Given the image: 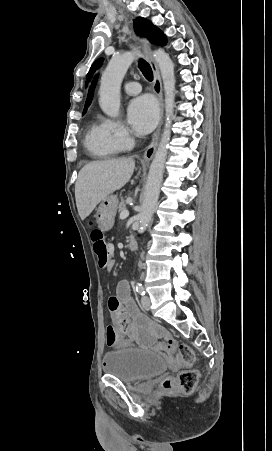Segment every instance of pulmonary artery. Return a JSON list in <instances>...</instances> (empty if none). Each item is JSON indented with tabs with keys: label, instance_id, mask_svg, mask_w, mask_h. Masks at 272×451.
<instances>
[{
	"label": "pulmonary artery",
	"instance_id": "e3ab8cb5",
	"mask_svg": "<svg viewBox=\"0 0 272 451\" xmlns=\"http://www.w3.org/2000/svg\"><path fill=\"white\" fill-rule=\"evenodd\" d=\"M124 90L128 95H137L141 91V86L136 82L127 83Z\"/></svg>",
	"mask_w": 272,
	"mask_h": 451
}]
</instances>
